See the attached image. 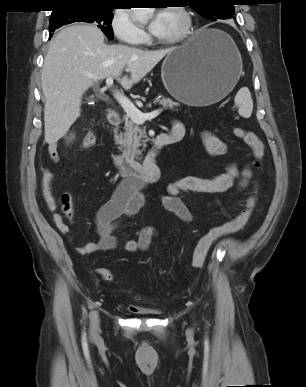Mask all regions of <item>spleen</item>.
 I'll return each instance as SVG.
<instances>
[{"label":"spleen","instance_id":"1","mask_svg":"<svg viewBox=\"0 0 306 387\" xmlns=\"http://www.w3.org/2000/svg\"><path fill=\"white\" fill-rule=\"evenodd\" d=\"M234 102L238 107V113L240 116L244 118L251 117L253 111V100L247 87H243L237 92Z\"/></svg>","mask_w":306,"mask_h":387}]
</instances>
